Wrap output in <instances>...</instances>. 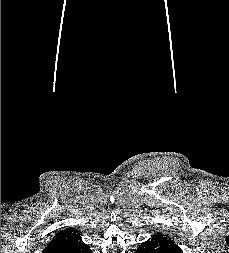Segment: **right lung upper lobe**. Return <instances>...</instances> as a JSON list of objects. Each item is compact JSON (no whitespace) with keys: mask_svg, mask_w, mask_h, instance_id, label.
Returning a JSON list of instances; mask_svg holds the SVG:
<instances>
[{"mask_svg":"<svg viewBox=\"0 0 229 253\" xmlns=\"http://www.w3.org/2000/svg\"><path fill=\"white\" fill-rule=\"evenodd\" d=\"M80 233L72 228L58 232L42 253H48L58 248L65 247L80 240Z\"/></svg>","mask_w":229,"mask_h":253,"instance_id":"cb5924a9","label":"right lung upper lobe"}]
</instances>
